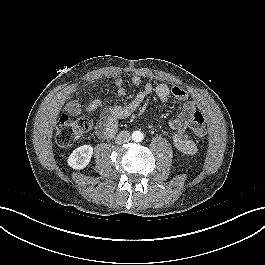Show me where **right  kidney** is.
Masks as SVG:
<instances>
[{
  "label": "right kidney",
  "instance_id": "ca27d5eb",
  "mask_svg": "<svg viewBox=\"0 0 265 265\" xmlns=\"http://www.w3.org/2000/svg\"><path fill=\"white\" fill-rule=\"evenodd\" d=\"M92 154L93 147L91 145H82L71 153L67 163L73 169H84L89 164Z\"/></svg>",
  "mask_w": 265,
  "mask_h": 265
}]
</instances>
